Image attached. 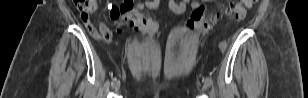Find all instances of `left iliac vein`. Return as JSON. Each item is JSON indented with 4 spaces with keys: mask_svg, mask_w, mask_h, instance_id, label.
<instances>
[{
    "mask_svg": "<svg viewBox=\"0 0 308 98\" xmlns=\"http://www.w3.org/2000/svg\"><path fill=\"white\" fill-rule=\"evenodd\" d=\"M207 86H208V85H207V83L205 82L204 85H203V90H205V89L207 88Z\"/></svg>",
    "mask_w": 308,
    "mask_h": 98,
    "instance_id": "left-iliac-vein-1",
    "label": "left iliac vein"
}]
</instances>
